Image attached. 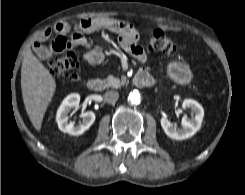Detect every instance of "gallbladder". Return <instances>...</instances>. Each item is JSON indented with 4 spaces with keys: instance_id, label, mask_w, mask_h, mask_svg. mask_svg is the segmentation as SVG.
I'll return each instance as SVG.
<instances>
[{
    "instance_id": "bac80fb5",
    "label": "gallbladder",
    "mask_w": 245,
    "mask_h": 195,
    "mask_svg": "<svg viewBox=\"0 0 245 195\" xmlns=\"http://www.w3.org/2000/svg\"><path fill=\"white\" fill-rule=\"evenodd\" d=\"M39 53H40V56L44 57V56L49 54V49L48 48H41Z\"/></svg>"
}]
</instances>
